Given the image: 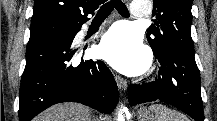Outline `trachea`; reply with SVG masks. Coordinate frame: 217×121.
I'll list each match as a JSON object with an SVG mask.
<instances>
[{"mask_svg": "<svg viewBox=\"0 0 217 121\" xmlns=\"http://www.w3.org/2000/svg\"><path fill=\"white\" fill-rule=\"evenodd\" d=\"M116 8V10L122 16H129V11L126 5L121 0H112L106 4H104L97 12L95 19H105L107 18L112 10Z\"/></svg>", "mask_w": 217, "mask_h": 121, "instance_id": "1", "label": "trachea"}]
</instances>
